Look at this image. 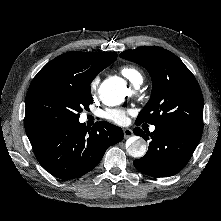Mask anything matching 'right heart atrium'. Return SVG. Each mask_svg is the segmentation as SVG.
Wrapping results in <instances>:
<instances>
[{"label":"right heart atrium","mask_w":221,"mask_h":221,"mask_svg":"<svg viewBox=\"0 0 221 221\" xmlns=\"http://www.w3.org/2000/svg\"><path fill=\"white\" fill-rule=\"evenodd\" d=\"M100 83V78L98 76L94 77L90 82V90L91 92H95L98 88V85Z\"/></svg>","instance_id":"obj_1"}]
</instances>
